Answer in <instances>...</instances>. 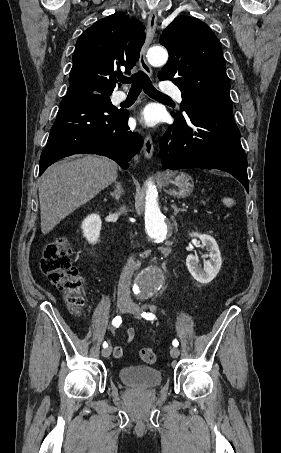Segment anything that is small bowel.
I'll use <instances>...</instances> for the list:
<instances>
[{"instance_id": "small-bowel-1", "label": "small bowel", "mask_w": 281, "mask_h": 453, "mask_svg": "<svg viewBox=\"0 0 281 453\" xmlns=\"http://www.w3.org/2000/svg\"><path fill=\"white\" fill-rule=\"evenodd\" d=\"M126 336H127V342L130 343L134 337H135V332L133 329H127L126 331ZM123 352V348L121 346H115L112 348V354L114 356H120Z\"/></svg>"}]
</instances>
